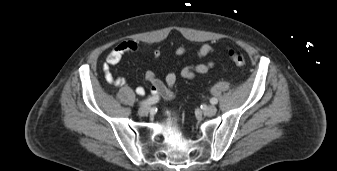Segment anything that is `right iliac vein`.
<instances>
[{
    "instance_id": "63e3f726",
    "label": "right iliac vein",
    "mask_w": 337,
    "mask_h": 171,
    "mask_svg": "<svg viewBox=\"0 0 337 171\" xmlns=\"http://www.w3.org/2000/svg\"><path fill=\"white\" fill-rule=\"evenodd\" d=\"M149 112H150V107H149V106H142V107L138 110V114H139L140 116H146Z\"/></svg>"
}]
</instances>
